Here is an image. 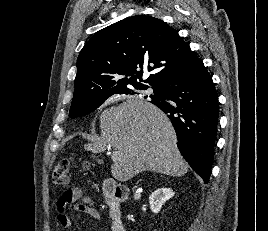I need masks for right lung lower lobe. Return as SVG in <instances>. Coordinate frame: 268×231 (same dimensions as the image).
I'll return each instance as SVG.
<instances>
[{"label": "right lung lower lobe", "mask_w": 268, "mask_h": 231, "mask_svg": "<svg viewBox=\"0 0 268 231\" xmlns=\"http://www.w3.org/2000/svg\"><path fill=\"white\" fill-rule=\"evenodd\" d=\"M152 103L171 120L177 146L190 167L209 181L218 125V95L204 64L170 79Z\"/></svg>", "instance_id": "right-lung-lower-lobe-1"}]
</instances>
